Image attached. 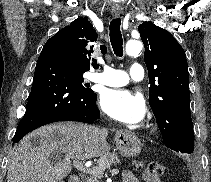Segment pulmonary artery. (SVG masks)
Segmentation results:
<instances>
[{
  "mask_svg": "<svg viewBox=\"0 0 211 182\" xmlns=\"http://www.w3.org/2000/svg\"><path fill=\"white\" fill-rule=\"evenodd\" d=\"M144 77V69L142 65L135 63L128 72L105 67L102 73H96L92 79L98 83L107 86H124L130 80L140 81Z\"/></svg>",
  "mask_w": 211,
  "mask_h": 182,
  "instance_id": "pulmonary-artery-1",
  "label": "pulmonary artery"
}]
</instances>
